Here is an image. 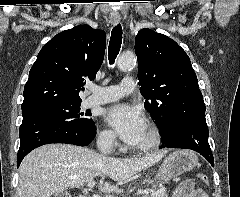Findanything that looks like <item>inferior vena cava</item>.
<instances>
[{
  "mask_svg": "<svg viewBox=\"0 0 240 197\" xmlns=\"http://www.w3.org/2000/svg\"><path fill=\"white\" fill-rule=\"evenodd\" d=\"M114 136L113 135H106L102 136L98 139L97 145L101 152L107 153L113 143Z\"/></svg>",
  "mask_w": 240,
  "mask_h": 197,
  "instance_id": "obj_1",
  "label": "inferior vena cava"
}]
</instances>
